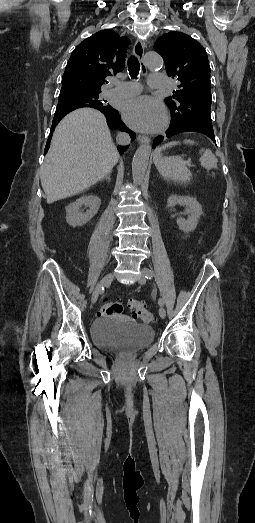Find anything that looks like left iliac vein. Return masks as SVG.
Here are the masks:
<instances>
[{"label": "left iliac vein", "instance_id": "obj_1", "mask_svg": "<svg viewBox=\"0 0 255 523\" xmlns=\"http://www.w3.org/2000/svg\"><path fill=\"white\" fill-rule=\"evenodd\" d=\"M137 281L141 285H144L146 283V278H145V275H144V271H142V273L138 277ZM159 315H160L161 318H165L166 317V311H165V309L162 306L159 308Z\"/></svg>", "mask_w": 255, "mask_h": 523}]
</instances>
